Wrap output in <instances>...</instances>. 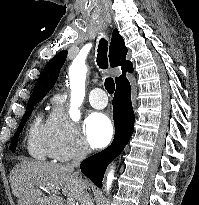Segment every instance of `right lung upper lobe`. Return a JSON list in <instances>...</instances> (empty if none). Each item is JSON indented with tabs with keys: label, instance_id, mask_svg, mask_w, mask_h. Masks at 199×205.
Instances as JSON below:
<instances>
[{
	"label": "right lung upper lobe",
	"instance_id": "obj_1",
	"mask_svg": "<svg viewBox=\"0 0 199 205\" xmlns=\"http://www.w3.org/2000/svg\"><path fill=\"white\" fill-rule=\"evenodd\" d=\"M127 48L124 40L115 29L112 33L111 44L109 48V59L111 67L122 66V75L115 78L116 85L126 78V72L132 73L133 66L130 61H126ZM67 57V50H63L55 55L44 67L37 83L33 89L32 95L28 102L43 99L46 93L54 86L62 65Z\"/></svg>",
	"mask_w": 199,
	"mask_h": 205
}]
</instances>
